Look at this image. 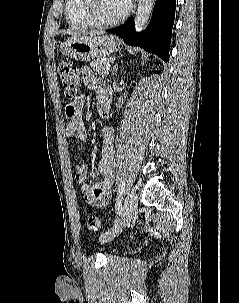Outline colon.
<instances>
[{
	"instance_id": "colon-1",
	"label": "colon",
	"mask_w": 239,
	"mask_h": 303,
	"mask_svg": "<svg viewBox=\"0 0 239 303\" xmlns=\"http://www.w3.org/2000/svg\"><path fill=\"white\" fill-rule=\"evenodd\" d=\"M60 82L69 98L77 95L80 76L78 70L70 63H62L59 67ZM85 225L90 231L98 232L101 229L100 220L94 215H87L85 217Z\"/></svg>"
}]
</instances>
